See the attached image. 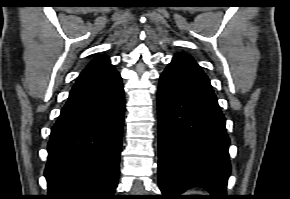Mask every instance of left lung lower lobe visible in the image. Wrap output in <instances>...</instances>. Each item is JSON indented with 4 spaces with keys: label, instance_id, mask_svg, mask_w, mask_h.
Here are the masks:
<instances>
[{
    "label": "left lung lower lobe",
    "instance_id": "0a47b994",
    "mask_svg": "<svg viewBox=\"0 0 290 199\" xmlns=\"http://www.w3.org/2000/svg\"><path fill=\"white\" fill-rule=\"evenodd\" d=\"M158 182L165 199L190 187L224 199L231 171L225 118L210 81L188 54L177 53L158 88Z\"/></svg>",
    "mask_w": 290,
    "mask_h": 199
}]
</instances>
